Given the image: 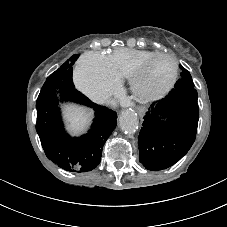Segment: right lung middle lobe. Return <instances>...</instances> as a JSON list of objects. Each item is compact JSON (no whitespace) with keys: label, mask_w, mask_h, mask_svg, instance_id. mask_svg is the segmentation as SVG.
<instances>
[{"label":"right lung middle lobe","mask_w":227,"mask_h":227,"mask_svg":"<svg viewBox=\"0 0 227 227\" xmlns=\"http://www.w3.org/2000/svg\"><path fill=\"white\" fill-rule=\"evenodd\" d=\"M79 55L71 56L59 69L53 72L45 81L43 88L54 87L56 89L74 88L72 73L73 64L78 59Z\"/></svg>","instance_id":"obj_1"}]
</instances>
